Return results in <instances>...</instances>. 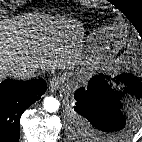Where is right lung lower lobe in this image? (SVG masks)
Listing matches in <instances>:
<instances>
[{"label": "right lung lower lobe", "instance_id": "obj_1", "mask_svg": "<svg viewBox=\"0 0 142 142\" xmlns=\"http://www.w3.org/2000/svg\"><path fill=\"white\" fill-rule=\"evenodd\" d=\"M42 79L17 81L6 79L0 84V142H18L22 113L45 93Z\"/></svg>", "mask_w": 142, "mask_h": 142}]
</instances>
